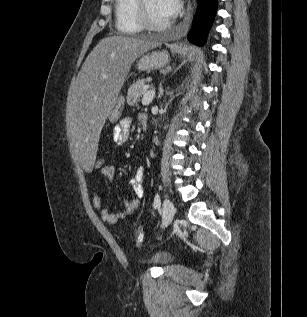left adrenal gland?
Masks as SVG:
<instances>
[{"mask_svg": "<svg viewBox=\"0 0 307 317\" xmlns=\"http://www.w3.org/2000/svg\"><path fill=\"white\" fill-rule=\"evenodd\" d=\"M163 92H164V91H163L162 85H160V88H159V98L162 97Z\"/></svg>", "mask_w": 307, "mask_h": 317, "instance_id": "obj_1", "label": "left adrenal gland"}]
</instances>
